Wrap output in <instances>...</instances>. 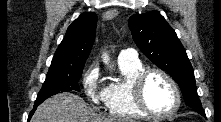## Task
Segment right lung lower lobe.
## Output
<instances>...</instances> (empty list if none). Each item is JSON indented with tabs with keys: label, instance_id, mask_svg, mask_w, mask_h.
Instances as JSON below:
<instances>
[{
	"label": "right lung lower lobe",
	"instance_id": "right-lung-lower-lobe-1",
	"mask_svg": "<svg viewBox=\"0 0 221 122\" xmlns=\"http://www.w3.org/2000/svg\"><path fill=\"white\" fill-rule=\"evenodd\" d=\"M38 105H39V104H36V103L34 104L33 110L30 112V115H29L28 120L31 119V117H32V115L34 114V112H35L36 108L38 107Z\"/></svg>",
	"mask_w": 221,
	"mask_h": 122
}]
</instances>
